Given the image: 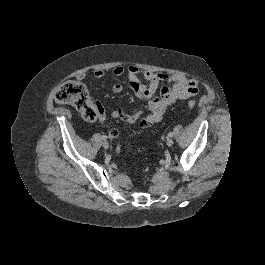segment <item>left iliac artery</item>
<instances>
[{
	"instance_id": "1",
	"label": "left iliac artery",
	"mask_w": 265,
	"mask_h": 265,
	"mask_svg": "<svg viewBox=\"0 0 265 265\" xmlns=\"http://www.w3.org/2000/svg\"><path fill=\"white\" fill-rule=\"evenodd\" d=\"M168 136H169V137H173V133L170 132V133L168 134Z\"/></svg>"
}]
</instances>
